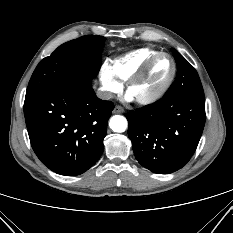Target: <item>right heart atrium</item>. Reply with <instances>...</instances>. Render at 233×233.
<instances>
[{"label":"right heart atrium","mask_w":233,"mask_h":233,"mask_svg":"<svg viewBox=\"0 0 233 233\" xmlns=\"http://www.w3.org/2000/svg\"><path fill=\"white\" fill-rule=\"evenodd\" d=\"M99 81L102 93L106 98H111L123 88V84L112 73L109 65L106 64L102 65L99 70Z\"/></svg>","instance_id":"right-heart-atrium-1"}]
</instances>
